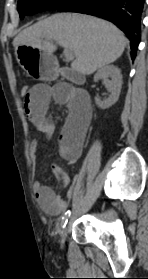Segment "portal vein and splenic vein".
<instances>
[{
	"label": "portal vein and splenic vein",
	"mask_w": 148,
	"mask_h": 279,
	"mask_svg": "<svg viewBox=\"0 0 148 279\" xmlns=\"http://www.w3.org/2000/svg\"><path fill=\"white\" fill-rule=\"evenodd\" d=\"M63 55H64V57L66 58L67 61H72L74 59L73 51L68 49V48L64 49Z\"/></svg>",
	"instance_id": "1"
}]
</instances>
